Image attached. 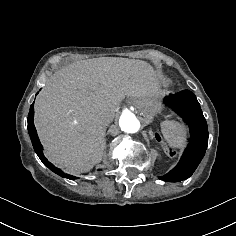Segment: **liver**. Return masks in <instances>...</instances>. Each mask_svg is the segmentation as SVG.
<instances>
[{
	"label": "liver",
	"mask_w": 236,
	"mask_h": 236,
	"mask_svg": "<svg viewBox=\"0 0 236 236\" xmlns=\"http://www.w3.org/2000/svg\"><path fill=\"white\" fill-rule=\"evenodd\" d=\"M157 91L153 69L140 60L99 57L61 68L35 104L45 154L69 172L90 170L106 153V127L122 100L152 98Z\"/></svg>",
	"instance_id": "6515ba94"
}]
</instances>
